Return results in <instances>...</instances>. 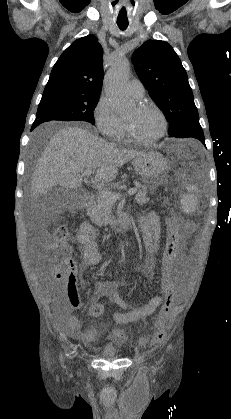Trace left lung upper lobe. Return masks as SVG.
Segmentation results:
<instances>
[{
    "label": "left lung upper lobe",
    "mask_w": 231,
    "mask_h": 419,
    "mask_svg": "<svg viewBox=\"0 0 231 419\" xmlns=\"http://www.w3.org/2000/svg\"><path fill=\"white\" fill-rule=\"evenodd\" d=\"M132 61L138 77L167 117L169 136L201 128L187 73L169 43L148 40L133 53Z\"/></svg>",
    "instance_id": "5c2ea615"
}]
</instances>
